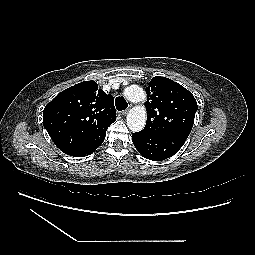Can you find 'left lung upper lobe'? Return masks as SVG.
I'll use <instances>...</instances> for the list:
<instances>
[{
	"mask_svg": "<svg viewBox=\"0 0 255 255\" xmlns=\"http://www.w3.org/2000/svg\"><path fill=\"white\" fill-rule=\"evenodd\" d=\"M147 123L141 133L188 137L198 109L193 94L166 77L155 76L146 88Z\"/></svg>",
	"mask_w": 255,
	"mask_h": 255,
	"instance_id": "left-lung-upper-lobe-1",
	"label": "left lung upper lobe"
}]
</instances>
